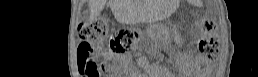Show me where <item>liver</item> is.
<instances>
[{
  "label": "liver",
  "mask_w": 258,
  "mask_h": 77,
  "mask_svg": "<svg viewBox=\"0 0 258 77\" xmlns=\"http://www.w3.org/2000/svg\"><path fill=\"white\" fill-rule=\"evenodd\" d=\"M106 0H89L90 8V20L97 18L101 11L104 9ZM110 8L115 18L119 22H131L133 17V12L135 8L132 5L131 1L127 0H110Z\"/></svg>",
  "instance_id": "liver-1"
}]
</instances>
